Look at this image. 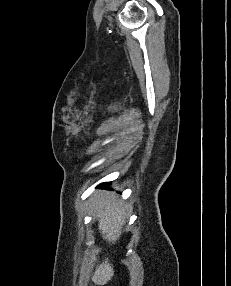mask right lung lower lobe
I'll return each mask as SVG.
<instances>
[{
    "label": "right lung lower lobe",
    "mask_w": 231,
    "mask_h": 286,
    "mask_svg": "<svg viewBox=\"0 0 231 286\" xmlns=\"http://www.w3.org/2000/svg\"><path fill=\"white\" fill-rule=\"evenodd\" d=\"M109 183H105L103 184L104 187H108Z\"/></svg>",
    "instance_id": "1"
}]
</instances>
